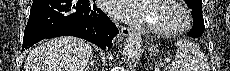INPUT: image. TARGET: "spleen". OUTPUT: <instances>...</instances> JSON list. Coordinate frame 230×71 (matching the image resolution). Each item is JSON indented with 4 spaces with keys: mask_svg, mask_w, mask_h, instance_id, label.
<instances>
[{
    "mask_svg": "<svg viewBox=\"0 0 230 71\" xmlns=\"http://www.w3.org/2000/svg\"><path fill=\"white\" fill-rule=\"evenodd\" d=\"M175 45V59L164 71H207V62L199 46L188 40L177 41Z\"/></svg>",
    "mask_w": 230,
    "mask_h": 71,
    "instance_id": "3e777b00",
    "label": "spleen"
}]
</instances>
